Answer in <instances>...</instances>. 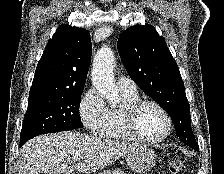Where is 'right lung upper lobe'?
<instances>
[{"mask_svg":"<svg viewBox=\"0 0 224 174\" xmlns=\"http://www.w3.org/2000/svg\"><path fill=\"white\" fill-rule=\"evenodd\" d=\"M91 52L87 30L61 25L38 62L29 96L83 91Z\"/></svg>","mask_w":224,"mask_h":174,"instance_id":"1","label":"right lung upper lobe"}]
</instances>
